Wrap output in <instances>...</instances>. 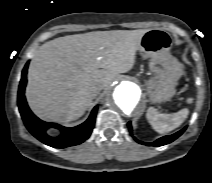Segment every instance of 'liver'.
Here are the masks:
<instances>
[{
    "instance_id": "6515ba94",
    "label": "liver",
    "mask_w": 212,
    "mask_h": 183,
    "mask_svg": "<svg viewBox=\"0 0 212 183\" xmlns=\"http://www.w3.org/2000/svg\"><path fill=\"white\" fill-rule=\"evenodd\" d=\"M148 29L96 31L44 43L28 70L27 102L39 118L71 122L118 74L130 71Z\"/></svg>"
}]
</instances>
